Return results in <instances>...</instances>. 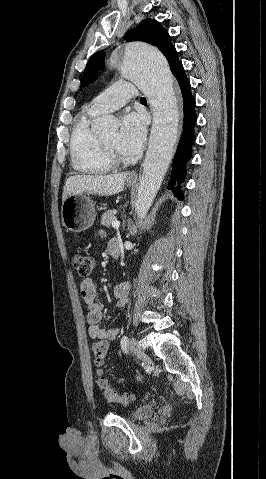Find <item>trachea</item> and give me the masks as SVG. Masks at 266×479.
<instances>
[{
	"label": "trachea",
	"mask_w": 266,
	"mask_h": 479,
	"mask_svg": "<svg viewBox=\"0 0 266 479\" xmlns=\"http://www.w3.org/2000/svg\"><path fill=\"white\" fill-rule=\"evenodd\" d=\"M140 101H141V102H146V99H145L144 97H141V98H140Z\"/></svg>",
	"instance_id": "obj_1"
}]
</instances>
